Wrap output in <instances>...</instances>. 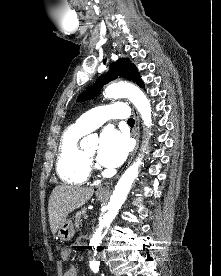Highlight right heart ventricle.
Here are the masks:
<instances>
[{"label":"right heart ventricle","instance_id":"e07e8e85","mask_svg":"<svg viewBox=\"0 0 221 276\" xmlns=\"http://www.w3.org/2000/svg\"><path fill=\"white\" fill-rule=\"evenodd\" d=\"M84 134L72 126L60 139L56 169L59 177L66 183L83 184L89 178L90 163L79 146V140Z\"/></svg>","mask_w":221,"mask_h":276}]
</instances>
